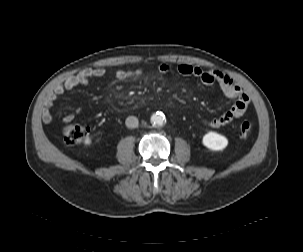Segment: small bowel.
I'll return each instance as SVG.
<instances>
[{
    "label": "small bowel",
    "instance_id": "obj_1",
    "mask_svg": "<svg viewBox=\"0 0 303 252\" xmlns=\"http://www.w3.org/2000/svg\"><path fill=\"white\" fill-rule=\"evenodd\" d=\"M176 70L179 75L197 78L204 85L210 86L217 84L225 96L236 100L234 105L222 115L207 119L205 122L206 126L210 128H220L229 124L233 119L239 117L246 111L249 98L245 91L228 75L220 71L206 70L184 62L179 63ZM158 71L161 74H169L171 72V66L167 62H161L158 65ZM142 74L143 71L141 69L114 70L110 72H107L104 68L100 67L85 69L54 86L44 105L42 121L47 126L51 125L54 121L52 109L57 98L78 85L89 84L91 81L102 79L107 75L122 81L132 77H140ZM72 119V114H65L62 117V121L65 123Z\"/></svg>",
    "mask_w": 303,
    "mask_h": 252
}]
</instances>
